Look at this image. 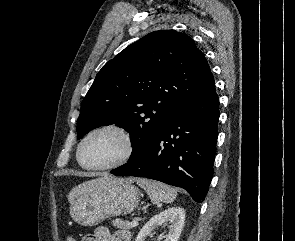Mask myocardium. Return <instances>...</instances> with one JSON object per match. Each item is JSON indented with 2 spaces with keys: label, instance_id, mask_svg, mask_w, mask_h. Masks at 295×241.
I'll use <instances>...</instances> for the list:
<instances>
[{
  "label": "myocardium",
  "instance_id": "obj_1",
  "mask_svg": "<svg viewBox=\"0 0 295 241\" xmlns=\"http://www.w3.org/2000/svg\"><path fill=\"white\" fill-rule=\"evenodd\" d=\"M106 130L114 131V132L118 133L123 138V140L125 142V152H124L123 156L120 159H118L117 161H115L111 164H107V165L88 166V165L84 164L81 159V152H82V148H83L85 142L93 134H95L97 132H101V131H106ZM135 149H136V146H135L134 138L128 129H126L125 127H123L121 125H117V124H105V125H101V126H98L94 129H92L83 137V139L80 141V143L77 147L76 158H77L79 165L86 170H93V171L111 170V169H115V168H118V167L126 164L133 157V155L135 153Z\"/></svg>",
  "mask_w": 295,
  "mask_h": 241
}]
</instances>
